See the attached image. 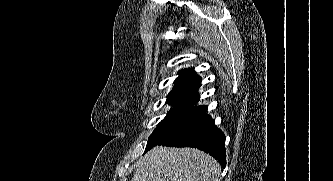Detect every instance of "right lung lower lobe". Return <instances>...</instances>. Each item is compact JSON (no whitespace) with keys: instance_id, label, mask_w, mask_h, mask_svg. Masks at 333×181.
<instances>
[{"instance_id":"98d812e1","label":"right lung lower lobe","mask_w":333,"mask_h":181,"mask_svg":"<svg viewBox=\"0 0 333 181\" xmlns=\"http://www.w3.org/2000/svg\"><path fill=\"white\" fill-rule=\"evenodd\" d=\"M161 145L168 147L197 148L217 159L223 168L226 166L225 136L223 132L215 126L214 121L208 115L191 131L187 132L179 139L172 143Z\"/></svg>"}]
</instances>
